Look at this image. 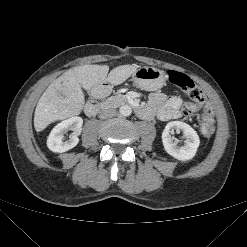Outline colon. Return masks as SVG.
I'll return each instance as SVG.
<instances>
[{
	"instance_id": "5ec220e1",
	"label": "colon",
	"mask_w": 247,
	"mask_h": 247,
	"mask_svg": "<svg viewBox=\"0 0 247 247\" xmlns=\"http://www.w3.org/2000/svg\"><path fill=\"white\" fill-rule=\"evenodd\" d=\"M167 75L170 83L183 90L192 99L193 102L186 103L182 111L186 116L193 115L205 103L203 90L184 73L169 70ZM200 130L202 134L208 138L214 134V111L210 104H205L203 107Z\"/></svg>"
}]
</instances>
